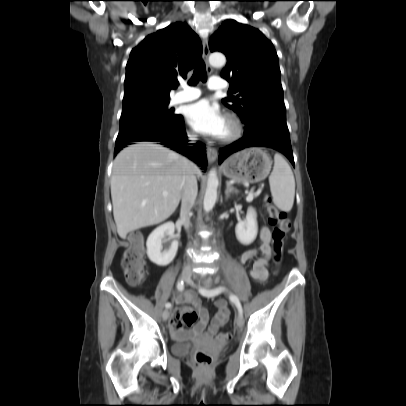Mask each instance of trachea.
<instances>
[{"label":"trachea","instance_id":"3493384b","mask_svg":"<svg viewBox=\"0 0 406 406\" xmlns=\"http://www.w3.org/2000/svg\"><path fill=\"white\" fill-rule=\"evenodd\" d=\"M200 80L202 82L207 81L206 66L203 60L197 62L193 75L188 83L189 85L195 86Z\"/></svg>","mask_w":406,"mask_h":406}]
</instances>
